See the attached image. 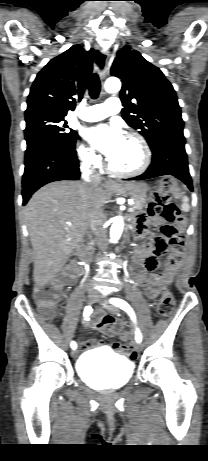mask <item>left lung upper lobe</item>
<instances>
[{
  "label": "left lung upper lobe",
  "instance_id": "1",
  "mask_svg": "<svg viewBox=\"0 0 208 461\" xmlns=\"http://www.w3.org/2000/svg\"><path fill=\"white\" fill-rule=\"evenodd\" d=\"M111 75L122 81L123 119L139 130L151 149L163 138L184 137L175 90L158 67L124 46L113 62Z\"/></svg>",
  "mask_w": 208,
  "mask_h": 461
}]
</instances>
